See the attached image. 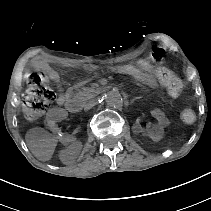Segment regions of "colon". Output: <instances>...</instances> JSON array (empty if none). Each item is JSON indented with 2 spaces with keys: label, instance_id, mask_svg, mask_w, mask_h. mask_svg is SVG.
<instances>
[{
  "label": "colon",
  "instance_id": "obj_1",
  "mask_svg": "<svg viewBox=\"0 0 211 211\" xmlns=\"http://www.w3.org/2000/svg\"><path fill=\"white\" fill-rule=\"evenodd\" d=\"M138 67L143 73H153L173 94L179 92L180 84L167 68L145 62H140ZM54 100L55 93L44 79L39 74H32L29 79L28 90L23 99L22 111L25 120L33 122L42 117ZM195 118L196 115L192 109L187 108L181 112V119L186 124L193 123Z\"/></svg>",
  "mask_w": 211,
  "mask_h": 211
}]
</instances>
